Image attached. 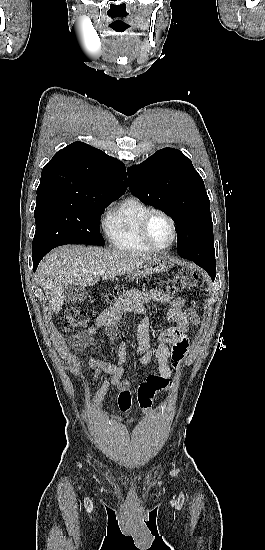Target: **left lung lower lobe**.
Returning a JSON list of instances; mask_svg holds the SVG:
<instances>
[{
    "mask_svg": "<svg viewBox=\"0 0 265 550\" xmlns=\"http://www.w3.org/2000/svg\"><path fill=\"white\" fill-rule=\"evenodd\" d=\"M185 259L191 260L202 267L211 276L212 280L216 276L215 252L204 250L196 254L187 256Z\"/></svg>",
    "mask_w": 265,
    "mask_h": 550,
    "instance_id": "0a47b994",
    "label": "left lung lower lobe"
}]
</instances>
